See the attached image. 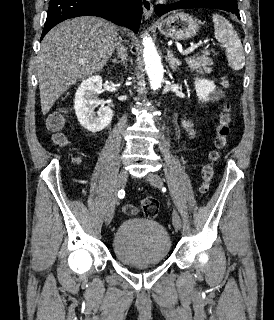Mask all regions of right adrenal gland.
Returning a JSON list of instances; mask_svg holds the SVG:
<instances>
[{"mask_svg":"<svg viewBox=\"0 0 274 320\" xmlns=\"http://www.w3.org/2000/svg\"><path fill=\"white\" fill-rule=\"evenodd\" d=\"M113 64H119V60H117V58H115V60H112Z\"/></svg>","mask_w":274,"mask_h":320,"instance_id":"1","label":"right adrenal gland"}]
</instances>
